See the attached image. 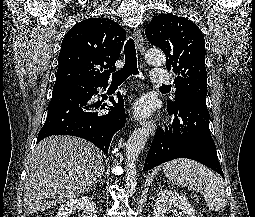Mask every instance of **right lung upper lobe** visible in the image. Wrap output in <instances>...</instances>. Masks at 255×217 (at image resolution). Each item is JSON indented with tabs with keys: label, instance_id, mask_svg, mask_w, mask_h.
Wrapping results in <instances>:
<instances>
[{
	"label": "right lung upper lobe",
	"instance_id": "obj_1",
	"mask_svg": "<svg viewBox=\"0 0 255 217\" xmlns=\"http://www.w3.org/2000/svg\"><path fill=\"white\" fill-rule=\"evenodd\" d=\"M125 37L126 31L109 19L90 18L73 26L61 44L55 84L107 83Z\"/></svg>",
	"mask_w": 255,
	"mask_h": 217
}]
</instances>
